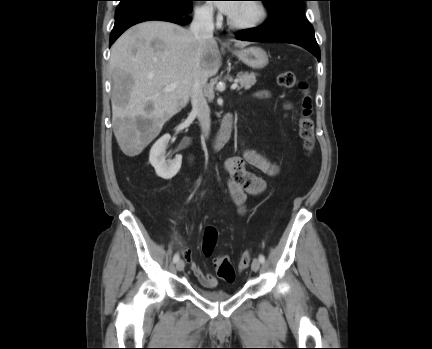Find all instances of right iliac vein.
Masks as SVG:
<instances>
[{
    "label": "right iliac vein",
    "mask_w": 432,
    "mask_h": 349,
    "mask_svg": "<svg viewBox=\"0 0 432 349\" xmlns=\"http://www.w3.org/2000/svg\"><path fill=\"white\" fill-rule=\"evenodd\" d=\"M184 267H185V263H184V261H183V260H179V261L177 262V264H176V269H177L178 271H182V270L184 269Z\"/></svg>",
    "instance_id": "obj_1"
}]
</instances>
